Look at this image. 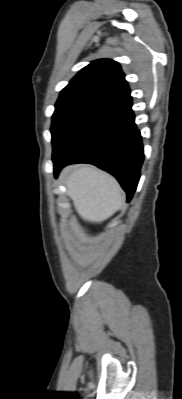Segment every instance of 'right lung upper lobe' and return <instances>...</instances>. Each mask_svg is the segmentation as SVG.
<instances>
[{
	"label": "right lung upper lobe",
	"mask_w": 182,
	"mask_h": 399,
	"mask_svg": "<svg viewBox=\"0 0 182 399\" xmlns=\"http://www.w3.org/2000/svg\"><path fill=\"white\" fill-rule=\"evenodd\" d=\"M130 94L120 65L100 59L84 67L61 91L60 97L88 96L108 103Z\"/></svg>",
	"instance_id": "cb5924a9"
}]
</instances>
